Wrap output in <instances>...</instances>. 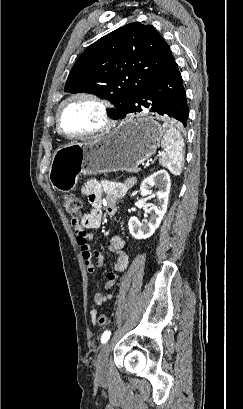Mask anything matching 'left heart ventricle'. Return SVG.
<instances>
[{"instance_id": "1", "label": "left heart ventricle", "mask_w": 243, "mask_h": 409, "mask_svg": "<svg viewBox=\"0 0 243 409\" xmlns=\"http://www.w3.org/2000/svg\"><path fill=\"white\" fill-rule=\"evenodd\" d=\"M101 125L99 109L93 102L76 99L69 102L61 114V127L66 134L75 135L97 129Z\"/></svg>"}]
</instances>
